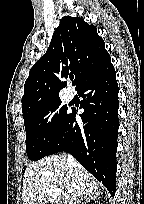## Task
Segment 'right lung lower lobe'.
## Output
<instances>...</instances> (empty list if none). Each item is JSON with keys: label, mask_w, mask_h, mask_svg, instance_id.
I'll return each instance as SVG.
<instances>
[{"label": "right lung lower lobe", "mask_w": 144, "mask_h": 204, "mask_svg": "<svg viewBox=\"0 0 144 204\" xmlns=\"http://www.w3.org/2000/svg\"><path fill=\"white\" fill-rule=\"evenodd\" d=\"M83 98V124L70 113L48 155L68 152L108 189L116 191L118 84L111 60L90 73L76 89Z\"/></svg>", "instance_id": "obj_1"}]
</instances>
